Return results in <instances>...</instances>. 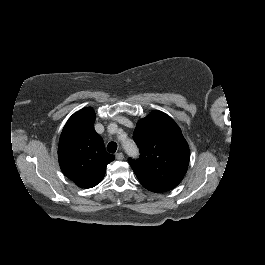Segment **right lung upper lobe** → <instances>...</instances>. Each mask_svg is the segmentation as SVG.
Masks as SVG:
<instances>
[{"mask_svg":"<svg viewBox=\"0 0 265 265\" xmlns=\"http://www.w3.org/2000/svg\"><path fill=\"white\" fill-rule=\"evenodd\" d=\"M95 113L81 109L67 121L60 136L58 159L65 176L81 188H91L103 179L114 155L106 152L102 138L94 129Z\"/></svg>","mask_w":265,"mask_h":265,"instance_id":"1","label":"right lung upper lobe"}]
</instances>
